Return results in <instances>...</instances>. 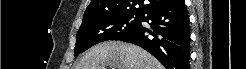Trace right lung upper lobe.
Instances as JSON below:
<instances>
[{
  "mask_svg": "<svg viewBox=\"0 0 246 69\" xmlns=\"http://www.w3.org/2000/svg\"><path fill=\"white\" fill-rule=\"evenodd\" d=\"M165 0H91L83 21L97 20L113 15L143 14L148 8Z\"/></svg>",
  "mask_w": 246,
  "mask_h": 69,
  "instance_id": "obj_1",
  "label": "right lung upper lobe"
}]
</instances>
